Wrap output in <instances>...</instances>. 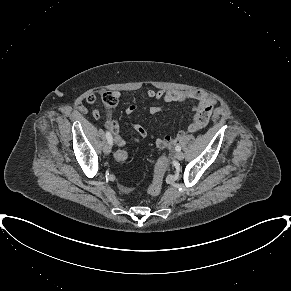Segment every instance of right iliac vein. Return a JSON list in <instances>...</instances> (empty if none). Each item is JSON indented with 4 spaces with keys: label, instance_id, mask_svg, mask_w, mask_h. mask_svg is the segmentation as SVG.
I'll return each instance as SVG.
<instances>
[{
    "label": "right iliac vein",
    "instance_id": "63e3f726",
    "mask_svg": "<svg viewBox=\"0 0 291 291\" xmlns=\"http://www.w3.org/2000/svg\"><path fill=\"white\" fill-rule=\"evenodd\" d=\"M103 152L105 154H109L111 152V144L110 143H105L103 147Z\"/></svg>",
    "mask_w": 291,
    "mask_h": 291
}]
</instances>
